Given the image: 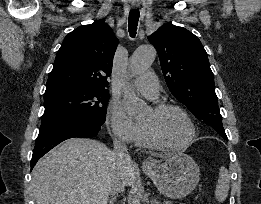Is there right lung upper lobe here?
Instances as JSON below:
<instances>
[{
    "label": "right lung upper lobe",
    "instance_id": "1",
    "mask_svg": "<svg viewBox=\"0 0 261 204\" xmlns=\"http://www.w3.org/2000/svg\"><path fill=\"white\" fill-rule=\"evenodd\" d=\"M117 45L113 31L102 20L76 28L65 37L57 52L45 94L106 90Z\"/></svg>",
    "mask_w": 261,
    "mask_h": 204
}]
</instances>
